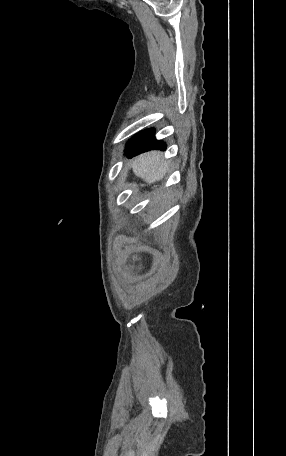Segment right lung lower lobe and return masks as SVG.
Masks as SVG:
<instances>
[{"label":"right lung lower lobe","mask_w":286,"mask_h":456,"mask_svg":"<svg viewBox=\"0 0 286 456\" xmlns=\"http://www.w3.org/2000/svg\"><path fill=\"white\" fill-rule=\"evenodd\" d=\"M154 134V129H148L133 136L127 143L125 150L126 156L131 158L151 149L165 150L166 144L161 140H157Z\"/></svg>","instance_id":"right-lung-lower-lobe-1"}]
</instances>
